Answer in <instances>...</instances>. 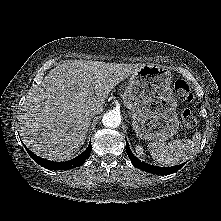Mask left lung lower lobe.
I'll return each instance as SVG.
<instances>
[{
	"label": "left lung lower lobe",
	"instance_id": "1",
	"mask_svg": "<svg viewBox=\"0 0 221 221\" xmlns=\"http://www.w3.org/2000/svg\"><path fill=\"white\" fill-rule=\"evenodd\" d=\"M126 150L127 154L132 162V164L141 170H144L149 173H154V174H161V175H169L172 174L176 171H178L181 167H183V164L177 165V166H172V167H156L149 165L145 162H141L138 158H136L133 153L131 152V149L128 145V142L126 141Z\"/></svg>",
	"mask_w": 221,
	"mask_h": 221
}]
</instances>
